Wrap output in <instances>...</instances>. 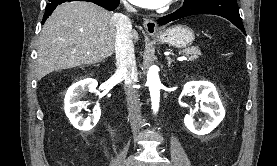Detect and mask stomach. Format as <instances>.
Here are the masks:
<instances>
[{"label":"stomach","instance_id":"obj_1","mask_svg":"<svg viewBox=\"0 0 277 166\" xmlns=\"http://www.w3.org/2000/svg\"><path fill=\"white\" fill-rule=\"evenodd\" d=\"M161 44H168L176 48H185L195 39L194 31L186 25H175L161 33L153 35Z\"/></svg>","mask_w":277,"mask_h":166}]
</instances>
